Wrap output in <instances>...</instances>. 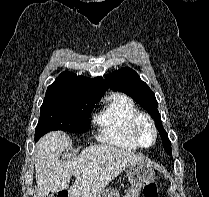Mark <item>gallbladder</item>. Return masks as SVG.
I'll return each instance as SVG.
<instances>
[{
  "label": "gallbladder",
  "instance_id": "bac80fb5",
  "mask_svg": "<svg viewBox=\"0 0 209 197\" xmlns=\"http://www.w3.org/2000/svg\"><path fill=\"white\" fill-rule=\"evenodd\" d=\"M48 197H55L53 193L49 194Z\"/></svg>",
  "mask_w": 209,
  "mask_h": 197
}]
</instances>
